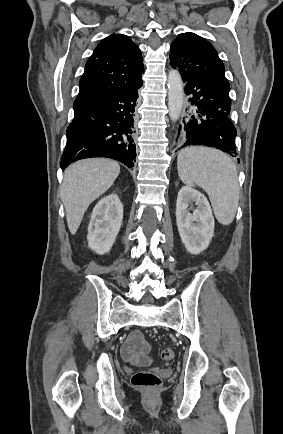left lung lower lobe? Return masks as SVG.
<instances>
[{
	"instance_id": "obj_1",
	"label": "left lung lower lobe",
	"mask_w": 283,
	"mask_h": 434,
	"mask_svg": "<svg viewBox=\"0 0 283 434\" xmlns=\"http://www.w3.org/2000/svg\"><path fill=\"white\" fill-rule=\"evenodd\" d=\"M176 69L174 65L171 64ZM189 96L185 116L179 126L185 146L214 147L235 156L236 128L231 123L229 91L179 69ZM239 163V158H236Z\"/></svg>"
}]
</instances>
